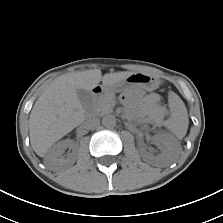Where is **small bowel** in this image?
I'll return each mask as SVG.
<instances>
[{
  "mask_svg": "<svg viewBox=\"0 0 223 223\" xmlns=\"http://www.w3.org/2000/svg\"><path fill=\"white\" fill-rule=\"evenodd\" d=\"M145 103L149 107L152 117L158 119L162 110L159 98L155 95H148L145 98Z\"/></svg>",
  "mask_w": 223,
  "mask_h": 223,
  "instance_id": "1",
  "label": "small bowel"
}]
</instances>
